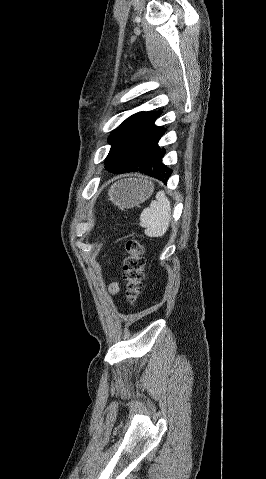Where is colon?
<instances>
[{"label": "colon", "mask_w": 266, "mask_h": 479, "mask_svg": "<svg viewBox=\"0 0 266 479\" xmlns=\"http://www.w3.org/2000/svg\"><path fill=\"white\" fill-rule=\"evenodd\" d=\"M124 289L129 302L134 303L141 295L145 278L144 245L137 238H129L124 246Z\"/></svg>", "instance_id": "1"}]
</instances>
